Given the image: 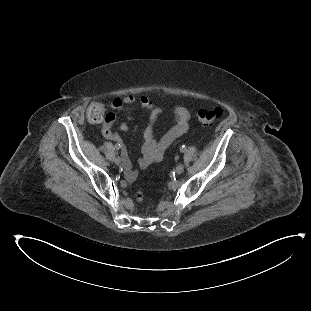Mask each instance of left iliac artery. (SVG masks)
<instances>
[{
    "label": "left iliac artery",
    "instance_id": "44dca946",
    "mask_svg": "<svg viewBox=\"0 0 311 311\" xmlns=\"http://www.w3.org/2000/svg\"><path fill=\"white\" fill-rule=\"evenodd\" d=\"M185 150H186V147L183 145V146L180 148V151H181V152H185Z\"/></svg>",
    "mask_w": 311,
    "mask_h": 311
}]
</instances>
